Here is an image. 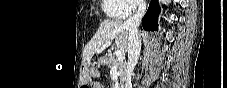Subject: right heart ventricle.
Masks as SVG:
<instances>
[{
	"instance_id": "e07e8e85",
	"label": "right heart ventricle",
	"mask_w": 227,
	"mask_h": 88,
	"mask_svg": "<svg viewBox=\"0 0 227 88\" xmlns=\"http://www.w3.org/2000/svg\"><path fill=\"white\" fill-rule=\"evenodd\" d=\"M102 9L111 19H122L126 17L128 4L124 0H102Z\"/></svg>"
}]
</instances>
